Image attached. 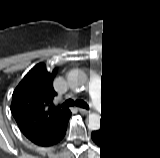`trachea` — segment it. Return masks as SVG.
I'll use <instances>...</instances> for the list:
<instances>
[{"label":"trachea","instance_id":"1","mask_svg":"<svg viewBox=\"0 0 160 158\" xmlns=\"http://www.w3.org/2000/svg\"><path fill=\"white\" fill-rule=\"evenodd\" d=\"M74 105H76L77 107L88 109V106L81 100L74 101L73 99H68L63 104L64 107H69V106H74Z\"/></svg>","mask_w":160,"mask_h":158}]
</instances>
